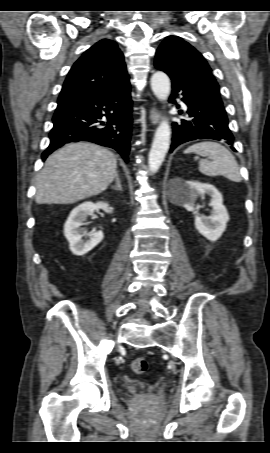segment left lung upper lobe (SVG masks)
Instances as JSON below:
<instances>
[{
    "label": "left lung upper lobe",
    "mask_w": 270,
    "mask_h": 453,
    "mask_svg": "<svg viewBox=\"0 0 270 453\" xmlns=\"http://www.w3.org/2000/svg\"><path fill=\"white\" fill-rule=\"evenodd\" d=\"M155 66L196 95L222 104L218 83L207 61L180 37L169 36L162 42Z\"/></svg>",
    "instance_id": "1"
}]
</instances>
